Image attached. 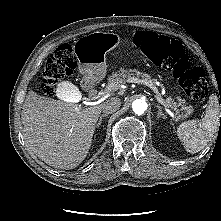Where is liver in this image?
Returning a JSON list of instances; mask_svg holds the SVG:
<instances>
[{
    "label": "liver",
    "mask_w": 221,
    "mask_h": 221,
    "mask_svg": "<svg viewBox=\"0 0 221 221\" xmlns=\"http://www.w3.org/2000/svg\"><path fill=\"white\" fill-rule=\"evenodd\" d=\"M67 85L69 90H77ZM102 106L82 107L29 91L21 112L24 139L46 164L73 169L89 152Z\"/></svg>",
    "instance_id": "liver-1"
}]
</instances>
